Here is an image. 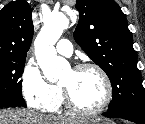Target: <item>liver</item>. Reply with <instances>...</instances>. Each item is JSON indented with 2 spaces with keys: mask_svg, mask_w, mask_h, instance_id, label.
I'll list each match as a JSON object with an SVG mask.
<instances>
[{
  "mask_svg": "<svg viewBox=\"0 0 145 124\" xmlns=\"http://www.w3.org/2000/svg\"><path fill=\"white\" fill-rule=\"evenodd\" d=\"M75 117H48L23 109L0 110V124H78Z\"/></svg>",
  "mask_w": 145,
  "mask_h": 124,
  "instance_id": "obj_1",
  "label": "liver"
}]
</instances>
